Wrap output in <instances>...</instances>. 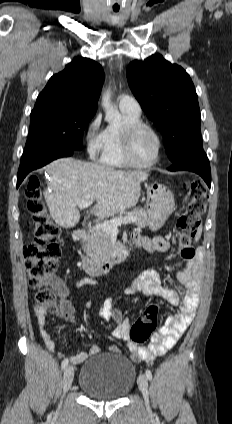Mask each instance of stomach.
<instances>
[{
    "label": "stomach",
    "mask_w": 232,
    "mask_h": 424,
    "mask_svg": "<svg viewBox=\"0 0 232 424\" xmlns=\"http://www.w3.org/2000/svg\"><path fill=\"white\" fill-rule=\"evenodd\" d=\"M147 206L148 225L152 230L160 229L176 209L172 191L158 182L147 186Z\"/></svg>",
    "instance_id": "0dacf381"
}]
</instances>
